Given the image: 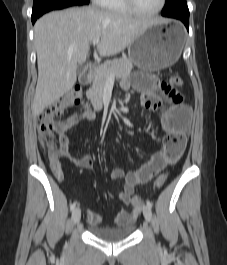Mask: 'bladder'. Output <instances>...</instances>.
Wrapping results in <instances>:
<instances>
[{"mask_svg":"<svg viewBox=\"0 0 227 265\" xmlns=\"http://www.w3.org/2000/svg\"><path fill=\"white\" fill-rule=\"evenodd\" d=\"M88 230L95 238L101 241L115 243L128 239L135 230V224L130 221L126 224L118 225L116 227H100L90 225Z\"/></svg>","mask_w":227,"mask_h":265,"instance_id":"31cf9c89","label":"bladder"}]
</instances>
